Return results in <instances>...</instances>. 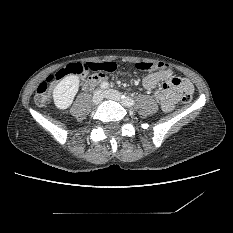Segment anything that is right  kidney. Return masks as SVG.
Masks as SVG:
<instances>
[{
    "label": "right kidney",
    "mask_w": 233,
    "mask_h": 233,
    "mask_svg": "<svg viewBox=\"0 0 233 233\" xmlns=\"http://www.w3.org/2000/svg\"><path fill=\"white\" fill-rule=\"evenodd\" d=\"M79 89V77L69 75L64 77L54 88L53 99L56 108L65 110L69 108Z\"/></svg>",
    "instance_id": "ca27d5eb"
}]
</instances>
